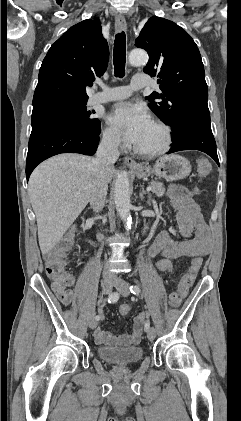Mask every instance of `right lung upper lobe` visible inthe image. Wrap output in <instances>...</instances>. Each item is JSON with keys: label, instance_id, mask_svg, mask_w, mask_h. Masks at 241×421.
Segmentation results:
<instances>
[{"label": "right lung upper lobe", "instance_id": "1", "mask_svg": "<svg viewBox=\"0 0 241 421\" xmlns=\"http://www.w3.org/2000/svg\"><path fill=\"white\" fill-rule=\"evenodd\" d=\"M109 48L98 19L69 28L44 58L33 107L53 101H87L86 86L107 68Z\"/></svg>", "mask_w": 241, "mask_h": 421}]
</instances>
